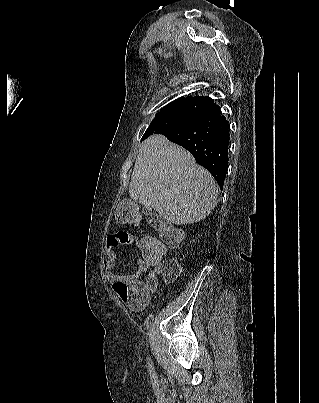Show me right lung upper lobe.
I'll list each match as a JSON object with an SVG mask.
<instances>
[{"instance_id":"right-lung-upper-lobe-1","label":"right lung upper lobe","mask_w":319,"mask_h":403,"mask_svg":"<svg viewBox=\"0 0 319 403\" xmlns=\"http://www.w3.org/2000/svg\"><path fill=\"white\" fill-rule=\"evenodd\" d=\"M173 102L195 103V104H199V105H202L204 107H207V108L211 109L213 114L221 113L220 108L216 104H214L213 100L210 99L209 97H200V96L191 97V96H188L187 98L181 97V98H179V99H177V100H175Z\"/></svg>"}]
</instances>
